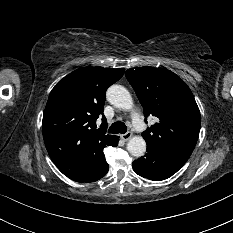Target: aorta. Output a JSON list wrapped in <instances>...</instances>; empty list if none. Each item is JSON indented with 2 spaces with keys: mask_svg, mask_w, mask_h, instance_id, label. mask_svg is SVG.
<instances>
[{
  "mask_svg": "<svg viewBox=\"0 0 233 233\" xmlns=\"http://www.w3.org/2000/svg\"><path fill=\"white\" fill-rule=\"evenodd\" d=\"M107 100L117 108L130 110L133 100L129 91L121 85H112L106 93ZM128 152L134 157H141L146 152V142L141 136L132 137L127 144Z\"/></svg>",
  "mask_w": 233,
  "mask_h": 233,
  "instance_id": "1",
  "label": "aorta"
}]
</instances>
